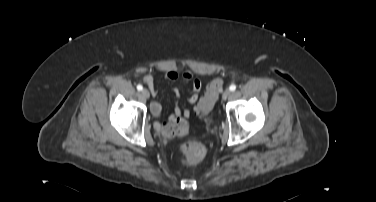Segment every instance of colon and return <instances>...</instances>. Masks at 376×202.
<instances>
[{"instance_id":"1","label":"colon","mask_w":376,"mask_h":202,"mask_svg":"<svg viewBox=\"0 0 376 202\" xmlns=\"http://www.w3.org/2000/svg\"><path fill=\"white\" fill-rule=\"evenodd\" d=\"M222 89L223 80L221 78L212 80L207 86L205 97L197 105L196 111L199 114L206 115L216 102ZM185 131L186 124L183 122L170 123L163 129L164 134L167 136L181 135ZM180 151L183 154V162L187 165H194L205 158L207 148L199 141H187L181 145Z\"/></svg>"}]
</instances>
